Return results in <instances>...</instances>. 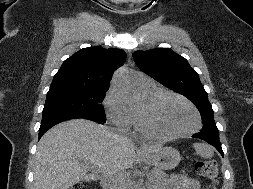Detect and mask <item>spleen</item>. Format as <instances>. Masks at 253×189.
Instances as JSON below:
<instances>
[{"instance_id": "obj_1", "label": "spleen", "mask_w": 253, "mask_h": 189, "mask_svg": "<svg viewBox=\"0 0 253 189\" xmlns=\"http://www.w3.org/2000/svg\"><path fill=\"white\" fill-rule=\"evenodd\" d=\"M193 147L196 151V153L201 156L202 158L210 159L214 155L213 148L205 143H194Z\"/></svg>"}]
</instances>
